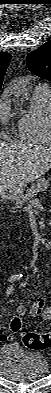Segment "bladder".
Listing matches in <instances>:
<instances>
[{"label":"bladder","mask_w":51,"mask_h":393,"mask_svg":"<svg viewBox=\"0 0 51 393\" xmlns=\"http://www.w3.org/2000/svg\"><path fill=\"white\" fill-rule=\"evenodd\" d=\"M0 369L9 379L33 381L46 376L50 370L46 357L39 351L20 349L8 344L0 349Z\"/></svg>","instance_id":"1"}]
</instances>
